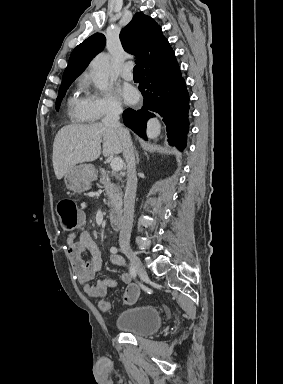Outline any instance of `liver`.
Segmentation results:
<instances>
[{"label":"liver","instance_id":"obj_1","mask_svg":"<svg viewBox=\"0 0 283 384\" xmlns=\"http://www.w3.org/2000/svg\"><path fill=\"white\" fill-rule=\"evenodd\" d=\"M115 156L123 152V144L116 128L97 124H71L59 130L53 144V168L57 180L83 162H94L101 154Z\"/></svg>","mask_w":283,"mask_h":384}]
</instances>
